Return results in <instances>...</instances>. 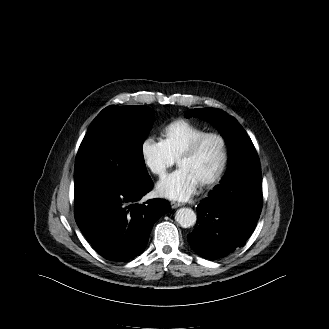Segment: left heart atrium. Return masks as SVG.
Instances as JSON below:
<instances>
[{"mask_svg":"<svg viewBox=\"0 0 329 329\" xmlns=\"http://www.w3.org/2000/svg\"><path fill=\"white\" fill-rule=\"evenodd\" d=\"M198 186V180L188 170L179 167L158 182L156 191L161 197L185 201L196 192Z\"/></svg>","mask_w":329,"mask_h":329,"instance_id":"1","label":"left heart atrium"}]
</instances>
